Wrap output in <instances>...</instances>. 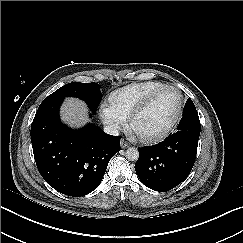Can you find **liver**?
I'll return each instance as SVG.
<instances>
[{"label":"liver","instance_id":"obj_1","mask_svg":"<svg viewBox=\"0 0 243 243\" xmlns=\"http://www.w3.org/2000/svg\"><path fill=\"white\" fill-rule=\"evenodd\" d=\"M62 121L70 127L79 128L88 121L87 105L77 98H67L60 109Z\"/></svg>","mask_w":243,"mask_h":243}]
</instances>
